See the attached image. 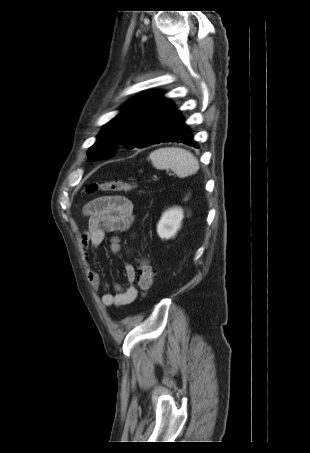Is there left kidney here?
Instances as JSON below:
<instances>
[{"mask_svg": "<svg viewBox=\"0 0 310 453\" xmlns=\"http://www.w3.org/2000/svg\"><path fill=\"white\" fill-rule=\"evenodd\" d=\"M184 218L183 209L174 207L166 210L157 224V234L161 239L173 238L181 228Z\"/></svg>", "mask_w": 310, "mask_h": 453, "instance_id": "1", "label": "left kidney"}]
</instances>
